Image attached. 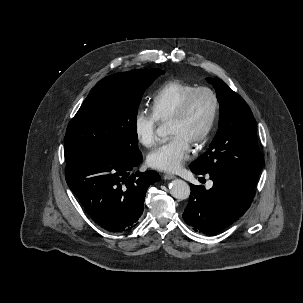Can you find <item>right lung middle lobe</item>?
Returning <instances> with one entry per match:
<instances>
[{
	"mask_svg": "<svg viewBox=\"0 0 303 303\" xmlns=\"http://www.w3.org/2000/svg\"><path fill=\"white\" fill-rule=\"evenodd\" d=\"M163 73L160 69H144L102 79L68 125L66 160L93 148L126 160L142 157L136 131L137 109L145 88Z\"/></svg>",
	"mask_w": 303,
	"mask_h": 303,
	"instance_id": "right-lung-middle-lobe-1",
	"label": "right lung middle lobe"
}]
</instances>
